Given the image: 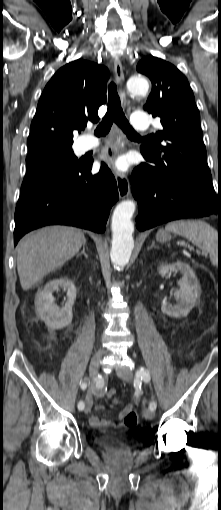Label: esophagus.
Masks as SVG:
<instances>
[{"label":"esophagus","mask_w":221,"mask_h":510,"mask_svg":"<svg viewBox=\"0 0 221 510\" xmlns=\"http://www.w3.org/2000/svg\"><path fill=\"white\" fill-rule=\"evenodd\" d=\"M114 72H115V76H116L117 82L120 85L119 95H120V98H121L122 105H123V107H126L127 96H126V92H125L124 87H123L124 73H123L122 64H121L119 59H115V61H114ZM105 155H106V160L113 167L114 174H115V179H116V182H117V188H118L119 197L121 199H124V198L128 197L129 194H130L129 180H128L127 176L123 172L117 170L114 167L115 154H114V151H113V148H112L111 145H109L105 149Z\"/></svg>","instance_id":"obj_1"}]
</instances>
